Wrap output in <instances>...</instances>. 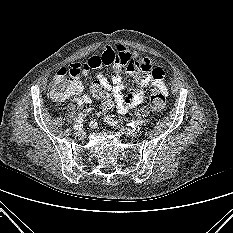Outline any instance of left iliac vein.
<instances>
[{"label":"left iliac vein","instance_id":"4c4485c4","mask_svg":"<svg viewBox=\"0 0 233 233\" xmlns=\"http://www.w3.org/2000/svg\"><path fill=\"white\" fill-rule=\"evenodd\" d=\"M120 131L122 133L128 134V135L133 136V137H136L140 134V131L137 129H127V128L121 127Z\"/></svg>","mask_w":233,"mask_h":233}]
</instances>
